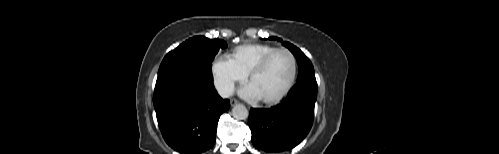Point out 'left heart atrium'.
I'll use <instances>...</instances> for the list:
<instances>
[{"label": "left heart atrium", "instance_id": "1", "mask_svg": "<svg viewBox=\"0 0 499 154\" xmlns=\"http://www.w3.org/2000/svg\"><path fill=\"white\" fill-rule=\"evenodd\" d=\"M239 94L243 98L248 99V100H252V101L260 99V96L257 93L255 87L250 82L247 83V84H245V85H243L239 89Z\"/></svg>", "mask_w": 499, "mask_h": 154}]
</instances>
